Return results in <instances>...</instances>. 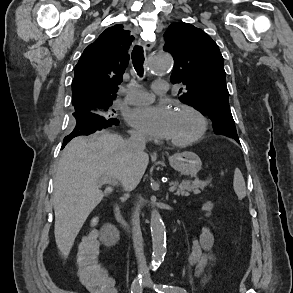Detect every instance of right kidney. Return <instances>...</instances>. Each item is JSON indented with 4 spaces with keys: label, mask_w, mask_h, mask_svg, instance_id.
I'll list each match as a JSON object with an SVG mask.
<instances>
[{
    "label": "right kidney",
    "mask_w": 293,
    "mask_h": 293,
    "mask_svg": "<svg viewBox=\"0 0 293 293\" xmlns=\"http://www.w3.org/2000/svg\"><path fill=\"white\" fill-rule=\"evenodd\" d=\"M119 240V232L113 227H107L104 232L103 241L106 246L115 245Z\"/></svg>",
    "instance_id": "1"
}]
</instances>
